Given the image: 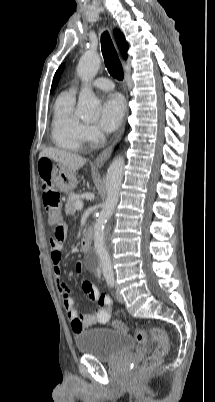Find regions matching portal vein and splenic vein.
Wrapping results in <instances>:
<instances>
[{"mask_svg": "<svg viewBox=\"0 0 215 402\" xmlns=\"http://www.w3.org/2000/svg\"><path fill=\"white\" fill-rule=\"evenodd\" d=\"M82 208H83V202L80 201V200L76 201V203H75V209L81 210Z\"/></svg>", "mask_w": 215, "mask_h": 402, "instance_id": "18ae733b", "label": "portal vein and splenic vein"}]
</instances>
